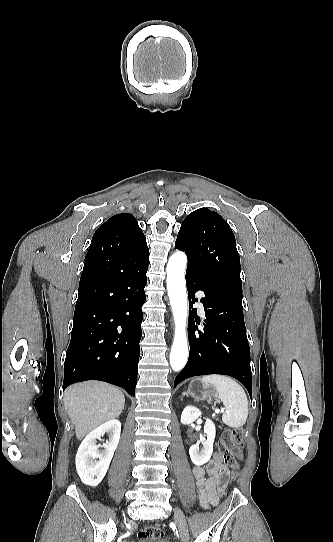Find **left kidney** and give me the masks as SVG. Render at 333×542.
<instances>
[{
    "label": "left kidney",
    "instance_id": "obj_1",
    "mask_svg": "<svg viewBox=\"0 0 333 542\" xmlns=\"http://www.w3.org/2000/svg\"><path fill=\"white\" fill-rule=\"evenodd\" d=\"M202 416V412L194 406H186L181 414V424H192ZM204 434H207L206 442H202V450L199 452V444H194L189 450L190 458L195 466H203L209 462L213 454V444L216 436L215 424L207 418L204 426Z\"/></svg>",
    "mask_w": 333,
    "mask_h": 542
}]
</instances>
